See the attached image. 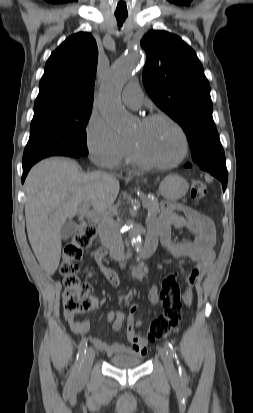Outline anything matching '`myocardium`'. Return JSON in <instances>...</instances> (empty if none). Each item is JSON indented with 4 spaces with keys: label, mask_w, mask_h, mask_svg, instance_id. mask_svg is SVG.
Returning a JSON list of instances; mask_svg holds the SVG:
<instances>
[{
    "label": "myocardium",
    "mask_w": 253,
    "mask_h": 413,
    "mask_svg": "<svg viewBox=\"0 0 253 413\" xmlns=\"http://www.w3.org/2000/svg\"><path fill=\"white\" fill-rule=\"evenodd\" d=\"M157 120H164L166 122H168L171 126L174 127V129L178 132L180 138H181V142H182V148H181V152L179 154V156L174 159L173 161L170 162H166V163H160V162H156L153 161L151 159H149L148 157H146L144 155V153L142 152V150L140 149L139 145L133 141L130 140V145L132 147V150L137 158V160L148 167L151 168H156V169H170V168H174L176 166H178L179 164H181L185 158L188 155L189 152V141H188V137L184 131V129L182 128V126L176 121L174 120L172 117H170L167 114L164 113H155V114H151L148 115L146 117H143L141 119V123L142 124H148Z\"/></svg>",
    "instance_id": "1"
}]
</instances>
